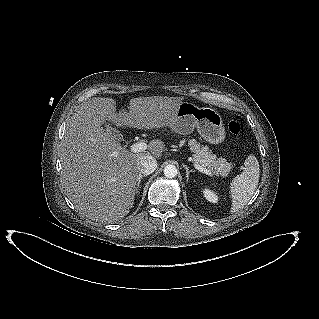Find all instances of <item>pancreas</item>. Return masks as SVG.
Instances as JSON below:
<instances>
[{"label": "pancreas", "mask_w": 319, "mask_h": 319, "mask_svg": "<svg viewBox=\"0 0 319 319\" xmlns=\"http://www.w3.org/2000/svg\"><path fill=\"white\" fill-rule=\"evenodd\" d=\"M192 150V161L201 165L203 168L210 170L213 174H220L226 177L232 168V164L224 158H217L207 146L200 145L195 139L189 140Z\"/></svg>", "instance_id": "cf45deb5"}]
</instances>
